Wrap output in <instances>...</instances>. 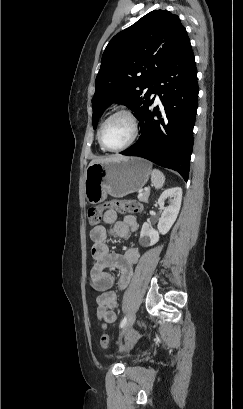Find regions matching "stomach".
<instances>
[{
	"instance_id": "stomach-1",
	"label": "stomach",
	"mask_w": 243,
	"mask_h": 409,
	"mask_svg": "<svg viewBox=\"0 0 243 409\" xmlns=\"http://www.w3.org/2000/svg\"><path fill=\"white\" fill-rule=\"evenodd\" d=\"M150 173L151 165L137 157L91 162L84 176L85 198L89 204L103 202L108 195L122 198L142 189Z\"/></svg>"
}]
</instances>
